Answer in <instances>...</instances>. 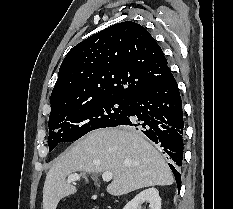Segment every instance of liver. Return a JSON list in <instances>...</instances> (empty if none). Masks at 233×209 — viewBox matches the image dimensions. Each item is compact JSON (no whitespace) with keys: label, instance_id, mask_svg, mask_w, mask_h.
Masks as SVG:
<instances>
[{"label":"liver","instance_id":"6515ba94","mask_svg":"<svg viewBox=\"0 0 233 209\" xmlns=\"http://www.w3.org/2000/svg\"><path fill=\"white\" fill-rule=\"evenodd\" d=\"M112 172L107 192L121 196L150 186L174 183L173 174L160 153L132 128H106L87 134L62 154L46 175L43 209H56L59 201L76 193L66 182L75 172Z\"/></svg>","mask_w":233,"mask_h":209}]
</instances>
